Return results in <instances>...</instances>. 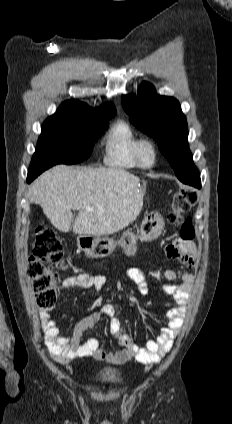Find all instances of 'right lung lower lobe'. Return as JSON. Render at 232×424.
Segmentation results:
<instances>
[{
    "label": "right lung lower lobe",
    "mask_w": 232,
    "mask_h": 424,
    "mask_svg": "<svg viewBox=\"0 0 232 424\" xmlns=\"http://www.w3.org/2000/svg\"><path fill=\"white\" fill-rule=\"evenodd\" d=\"M38 176V175H37ZM37 176H28L27 177V182L30 183L32 182Z\"/></svg>",
    "instance_id": "obj_1"
}]
</instances>
